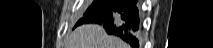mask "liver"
Listing matches in <instances>:
<instances>
[{"label": "liver", "mask_w": 213, "mask_h": 48, "mask_svg": "<svg viewBox=\"0 0 213 48\" xmlns=\"http://www.w3.org/2000/svg\"><path fill=\"white\" fill-rule=\"evenodd\" d=\"M66 48H128L115 36L107 35L104 28L96 24L77 27L68 37Z\"/></svg>", "instance_id": "6515ba94"}]
</instances>
